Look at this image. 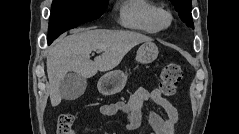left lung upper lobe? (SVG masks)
Listing matches in <instances>:
<instances>
[{"mask_svg":"<svg viewBox=\"0 0 239 134\" xmlns=\"http://www.w3.org/2000/svg\"><path fill=\"white\" fill-rule=\"evenodd\" d=\"M187 26L194 28L191 14V0H170Z\"/></svg>","mask_w":239,"mask_h":134,"instance_id":"obj_1","label":"left lung upper lobe"}]
</instances>
